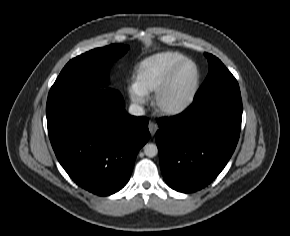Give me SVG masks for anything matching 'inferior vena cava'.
<instances>
[{
    "label": "inferior vena cava",
    "mask_w": 290,
    "mask_h": 236,
    "mask_svg": "<svg viewBox=\"0 0 290 236\" xmlns=\"http://www.w3.org/2000/svg\"><path fill=\"white\" fill-rule=\"evenodd\" d=\"M129 113L134 116H142L144 115V109L138 104H131L129 107Z\"/></svg>",
    "instance_id": "obj_1"
}]
</instances>
